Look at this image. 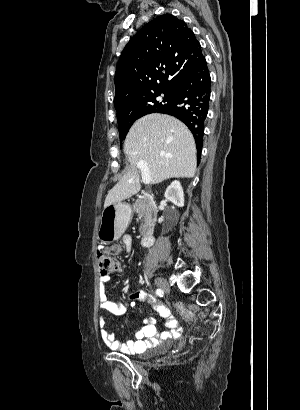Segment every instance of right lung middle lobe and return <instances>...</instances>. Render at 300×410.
Listing matches in <instances>:
<instances>
[{"mask_svg": "<svg viewBox=\"0 0 300 410\" xmlns=\"http://www.w3.org/2000/svg\"><path fill=\"white\" fill-rule=\"evenodd\" d=\"M173 92L174 90H164L143 97L140 100V113L137 116L118 121L120 140L125 139L129 128L138 118L149 113L157 112L159 109L169 105L174 98ZM161 95L163 96L162 100L159 99Z\"/></svg>", "mask_w": 300, "mask_h": 410, "instance_id": "obj_1", "label": "right lung middle lobe"}]
</instances>
